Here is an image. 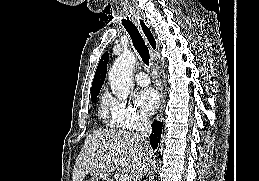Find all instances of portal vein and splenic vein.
I'll list each match as a JSON object with an SVG mask.
<instances>
[{
  "mask_svg": "<svg viewBox=\"0 0 259 181\" xmlns=\"http://www.w3.org/2000/svg\"><path fill=\"white\" fill-rule=\"evenodd\" d=\"M119 181H131V178L128 174H122L119 178Z\"/></svg>",
  "mask_w": 259,
  "mask_h": 181,
  "instance_id": "1",
  "label": "portal vein and splenic vein"
}]
</instances>
